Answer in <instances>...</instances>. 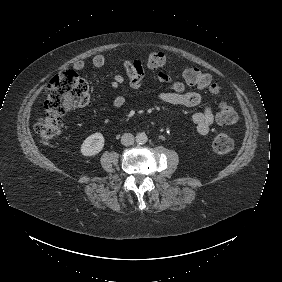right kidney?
Here are the masks:
<instances>
[{"mask_svg":"<svg viewBox=\"0 0 282 282\" xmlns=\"http://www.w3.org/2000/svg\"><path fill=\"white\" fill-rule=\"evenodd\" d=\"M105 138L102 133L96 132L88 136L80 146V154L86 158L98 155L104 148Z\"/></svg>","mask_w":282,"mask_h":282,"instance_id":"1","label":"right kidney"}]
</instances>
